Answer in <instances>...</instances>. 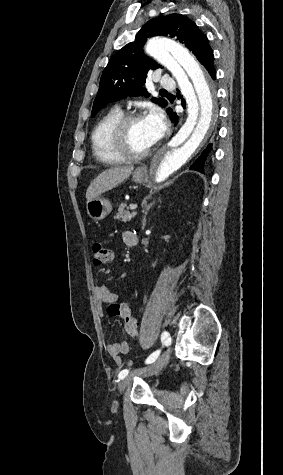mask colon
Masks as SVG:
<instances>
[{
	"mask_svg": "<svg viewBox=\"0 0 283 475\" xmlns=\"http://www.w3.org/2000/svg\"><path fill=\"white\" fill-rule=\"evenodd\" d=\"M110 251L101 242H96L92 247V260L95 267H101L110 259ZM130 306L127 304H116L105 307L106 313L120 317L124 323L127 334L134 340L138 339V326L134 316L130 313Z\"/></svg>",
	"mask_w": 283,
	"mask_h": 475,
	"instance_id": "1",
	"label": "colon"
}]
</instances>
